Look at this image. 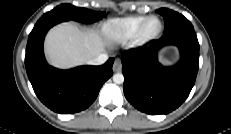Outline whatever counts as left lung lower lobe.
<instances>
[{"mask_svg": "<svg viewBox=\"0 0 231 134\" xmlns=\"http://www.w3.org/2000/svg\"><path fill=\"white\" fill-rule=\"evenodd\" d=\"M176 45L179 63L165 68L157 62V52L164 45ZM124 95L138 110L148 114H167L189 96L199 68V43L192 28L165 34L149 46L122 53Z\"/></svg>", "mask_w": 231, "mask_h": 134, "instance_id": "left-lung-lower-lobe-1", "label": "left lung lower lobe"}]
</instances>
